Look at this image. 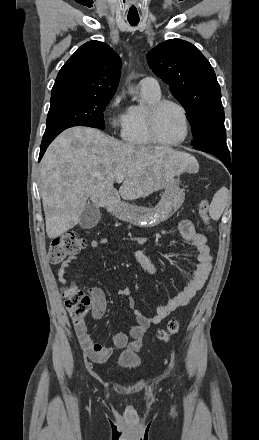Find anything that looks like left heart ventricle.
Listing matches in <instances>:
<instances>
[{
  "label": "left heart ventricle",
  "mask_w": 259,
  "mask_h": 440,
  "mask_svg": "<svg viewBox=\"0 0 259 440\" xmlns=\"http://www.w3.org/2000/svg\"><path fill=\"white\" fill-rule=\"evenodd\" d=\"M159 137L166 142H174L184 135V123L180 111L173 105L165 106L158 117Z\"/></svg>",
  "instance_id": "obj_1"
}]
</instances>
